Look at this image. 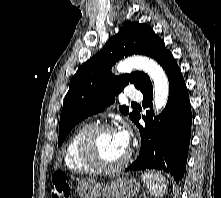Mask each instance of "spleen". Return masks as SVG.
Here are the masks:
<instances>
[{
  "instance_id": "1",
  "label": "spleen",
  "mask_w": 221,
  "mask_h": 198,
  "mask_svg": "<svg viewBox=\"0 0 221 198\" xmlns=\"http://www.w3.org/2000/svg\"><path fill=\"white\" fill-rule=\"evenodd\" d=\"M141 178L153 197L159 198L166 193L167 181L159 173L146 172L141 175Z\"/></svg>"
}]
</instances>
